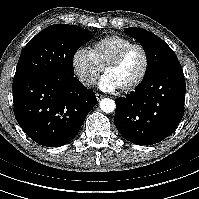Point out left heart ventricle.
<instances>
[{"instance_id": "b2bd125f", "label": "left heart ventricle", "mask_w": 199, "mask_h": 199, "mask_svg": "<svg viewBox=\"0 0 199 199\" xmlns=\"http://www.w3.org/2000/svg\"><path fill=\"white\" fill-rule=\"evenodd\" d=\"M143 66L142 51L139 48H133L125 55L117 67L107 70L104 75L110 77L118 88H122L138 78Z\"/></svg>"}]
</instances>
